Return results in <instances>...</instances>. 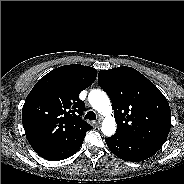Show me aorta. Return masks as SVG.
I'll use <instances>...</instances> for the list:
<instances>
[{"label":"aorta","instance_id":"1","mask_svg":"<svg viewBox=\"0 0 184 184\" xmlns=\"http://www.w3.org/2000/svg\"><path fill=\"white\" fill-rule=\"evenodd\" d=\"M89 103L91 106L101 115L105 116L102 123L101 131L106 136H111L116 131V123L114 118L111 116L112 107L107 94L99 89H93L90 91Z\"/></svg>","mask_w":184,"mask_h":184}]
</instances>
